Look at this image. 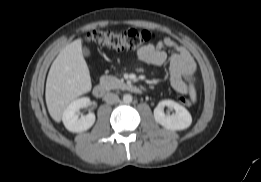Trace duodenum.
I'll return each mask as SVG.
<instances>
[{
	"label": "duodenum",
	"instance_id": "duodenum-1",
	"mask_svg": "<svg viewBox=\"0 0 261 182\" xmlns=\"http://www.w3.org/2000/svg\"><path fill=\"white\" fill-rule=\"evenodd\" d=\"M125 88L131 92L138 93V94L142 92L141 87L131 82L127 83L125 85ZM106 91H107L106 87L103 84H97L93 89V94L97 98H102L105 96Z\"/></svg>",
	"mask_w": 261,
	"mask_h": 182
}]
</instances>
